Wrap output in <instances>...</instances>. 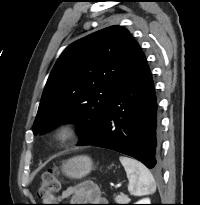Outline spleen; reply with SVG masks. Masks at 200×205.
Here are the masks:
<instances>
[{
	"instance_id": "obj_1",
	"label": "spleen",
	"mask_w": 200,
	"mask_h": 205,
	"mask_svg": "<svg viewBox=\"0 0 200 205\" xmlns=\"http://www.w3.org/2000/svg\"><path fill=\"white\" fill-rule=\"evenodd\" d=\"M121 164L124 166L128 180V191L134 196L152 194L156 191V184L149 169L141 162L120 156Z\"/></svg>"
}]
</instances>
